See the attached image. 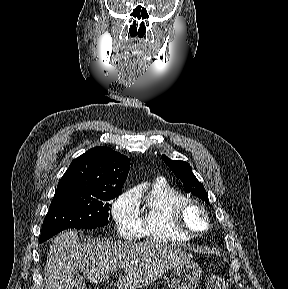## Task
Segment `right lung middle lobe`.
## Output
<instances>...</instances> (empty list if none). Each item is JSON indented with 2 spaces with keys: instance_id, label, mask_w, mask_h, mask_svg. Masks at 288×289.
I'll list each match as a JSON object with an SVG mask.
<instances>
[{
  "instance_id": "1",
  "label": "right lung middle lobe",
  "mask_w": 288,
  "mask_h": 289,
  "mask_svg": "<svg viewBox=\"0 0 288 289\" xmlns=\"http://www.w3.org/2000/svg\"><path fill=\"white\" fill-rule=\"evenodd\" d=\"M121 191L56 192L43 222L39 242H44L67 228L92 229L108 224L109 203Z\"/></svg>"
}]
</instances>
